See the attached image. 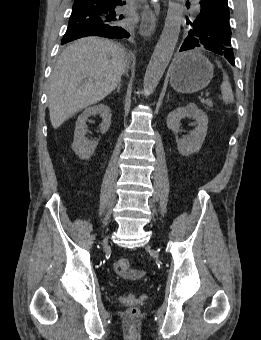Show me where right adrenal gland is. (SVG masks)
<instances>
[{
  "label": "right adrenal gland",
  "instance_id": "2a0ac1e0",
  "mask_svg": "<svg viewBox=\"0 0 261 340\" xmlns=\"http://www.w3.org/2000/svg\"><path fill=\"white\" fill-rule=\"evenodd\" d=\"M121 86H122L121 81H119L117 86V93L120 92Z\"/></svg>",
  "mask_w": 261,
  "mask_h": 340
}]
</instances>
